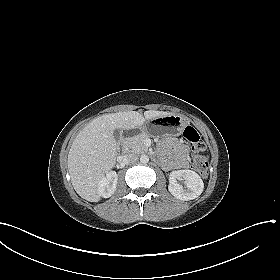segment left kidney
Returning a JSON list of instances; mask_svg holds the SVG:
<instances>
[{
	"mask_svg": "<svg viewBox=\"0 0 280 280\" xmlns=\"http://www.w3.org/2000/svg\"><path fill=\"white\" fill-rule=\"evenodd\" d=\"M177 180H184L185 186L180 185ZM204 183L201 177L192 170L172 171L169 175V192L180 200H193L201 195Z\"/></svg>",
	"mask_w": 280,
	"mask_h": 280,
	"instance_id": "1",
	"label": "left kidney"
}]
</instances>
